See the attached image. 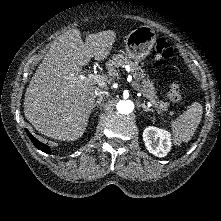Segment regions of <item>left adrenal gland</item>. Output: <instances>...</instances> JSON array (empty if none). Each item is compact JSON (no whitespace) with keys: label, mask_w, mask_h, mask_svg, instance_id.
Masks as SVG:
<instances>
[{"label":"left adrenal gland","mask_w":221,"mask_h":221,"mask_svg":"<svg viewBox=\"0 0 221 221\" xmlns=\"http://www.w3.org/2000/svg\"><path fill=\"white\" fill-rule=\"evenodd\" d=\"M142 108L144 111H150V112H153L152 109L148 108L145 104H141Z\"/></svg>","instance_id":"left-adrenal-gland-1"}]
</instances>
